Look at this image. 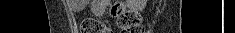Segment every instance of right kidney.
Masks as SVG:
<instances>
[{"label": "right kidney", "mask_w": 235, "mask_h": 33, "mask_svg": "<svg viewBox=\"0 0 235 33\" xmlns=\"http://www.w3.org/2000/svg\"><path fill=\"white\" fill-rule=\"evenodd\" d=\"M128 5L130 8H132L135 11L137 10L142 11L145 8L146 1L145 0H130Z\"/></svg>", "instance_id": "1"}]
</instances>
